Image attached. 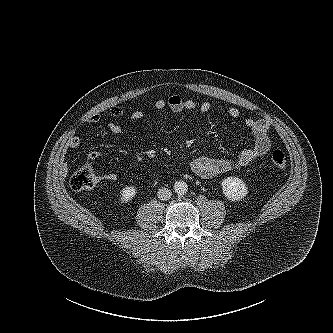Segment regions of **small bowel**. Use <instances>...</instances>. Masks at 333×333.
Wrapping results in <instances>:
<instances>
[{
  "label": "small bowel",
  "instance_id": "small-bowel-1",
  "mask_svg": "<svg viewBox=\"0 0 333 333\" xmlns=\"http://www.w3.org/2000/svg\"><path fill=\"white\" fill-rule=\"evenodd\" d=\"M155 108L158 110L168 109L174 113L197 112L205 114L212 110V105L209 102L197 103L194 100L186 99L180 95H172L167 99L157 100L155 102ZM226 112L232 119H239L241 117V112L236 107H228ZM111 114L116 117H121L125 114V110L120 106H116L112 108ZM130 118L135 121L142 120L146 118V113L141 110H136L130 114ZM100 121L101 116L99 114H95L88 119L90 124H97ZM243 123L254 137V143L251 147L243 149L234 157H197L190 162V170L199 177L212 178L223 173L241 169L252 161L265 156L271 149L270 123L266 119H256L252 117L245 118ZM108 129L113 134H119L123 131V126L113 121L108 124ZM67 146L72 149L78 148L80 146V139L77 136H71L67 141ZM98 157L99 154L97 152L90 154L92 160ZM104 178L113 181L116 179V174L107 173Z\"/></svg>",
  "mask_w": 333,
  "mask_h": 333
}]
</instances>
